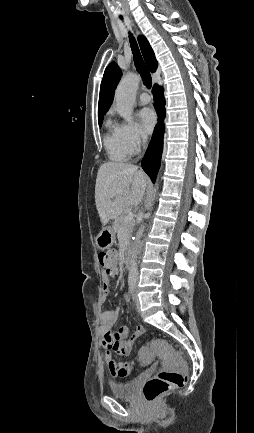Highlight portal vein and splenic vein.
Returning a JSON list of instances; mask_svg holds the SVG:
<instances>
[{
  "label": "portal vein and splenic vein",
  "mask_w": 254,
  "mask_h": 433,
  "mask_svg": "<svg viewBox=\"0 0 254 433\" xmlns=\"http://www.w3.org/2000/svg\"><path fill=\"white\" fill-rule=\"evenodd\" d=\"M120 193H121V192L118 191V192L114 193L113 196H115V195H117V194H120ZM133 219H134V213H133V212H129V213L126 215L124 221L127 223V222H131Z\"/></svg>",
  "instance_id": "obj_1"
}]
</instances>
